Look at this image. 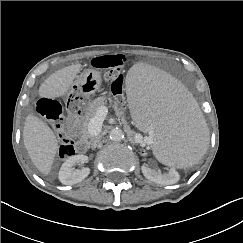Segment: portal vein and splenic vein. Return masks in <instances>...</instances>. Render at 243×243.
I'll use <instances>...</instances> for the list:
<instances>
[{"mask_svg": "<svg viewBox=\"0 0 243 243\" xmlns=\"http://www.w3.org/2000/svg\"><path fill=\"white\" fill-rule=\"evenodd\" d=\"M108 108L102 106L97 110L96 115L90 120L88 127L92 135H97L101 131L102 123L107 116Z\"/></svg>", "mask_w": 243, "mask_h": 243, "instance_id": "18ae733b", "label": "portal vein and splenic vein"}]
</instances>
